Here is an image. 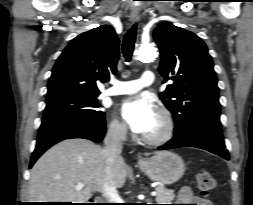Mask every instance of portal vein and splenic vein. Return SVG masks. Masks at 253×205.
<instances>
[{
  "instance_id": "1",
  "label": "portal vein and splenic vein",
  "mask_w": 253,
  "mask_h": 205,
  "mask_svg": "<svg viewBox=\"0 0 253 205\" xmlns=\"http://www.w3.org/2000/svg\"><path fill=\"white\" fill-rule=\"evenodd\" d=\"M84 187V184L83 183H78L76 186H75V189L76 190H80V189H82ZM151 195L152 196H156L157 195V192L156 191H152L151 192Z\"/></svg>"
}]
</instances>
